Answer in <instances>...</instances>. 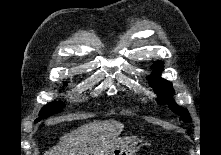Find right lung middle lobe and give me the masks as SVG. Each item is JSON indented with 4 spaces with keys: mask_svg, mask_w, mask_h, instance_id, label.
<instances>
[{
    "mask_svg": "<svg viewBox=\"0 0 221 155\" xmlns=\"http://www.w3.org/2000/svg\"><path fill=\"white\" fill-rule=\"evenodd\" d=\"M62 105L63 103H56V102H52L45 105L39 113V118H37L35 122H38L43 118H47L54 113L60 112L62 110Z\"/></svg>",
    "mask_w": 221,
    "mask_h": 155,
    "instance_id": "obj_1",
    "label": "right lung middle lobe"
}]
</instances>
